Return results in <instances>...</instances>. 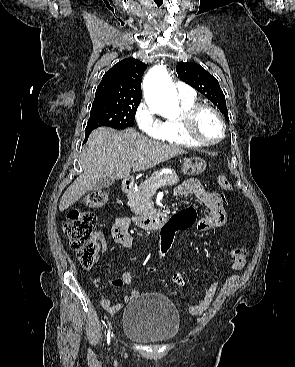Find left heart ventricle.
Listing matches in <instances>:
<instances>
[{
	"label": "left heart ventricle",
	"mask_w": 295,
	"mask_h": 367,
	"mask_svg": "<svg viewBox=\"0 0 295 367\" xmlns=\"http://www.w3.org/2000/svg\"><path fill=\"white\" fill-rule=\"evenodd\" d=\"M197 130L206 140H214L221 136L222 127L216 116L210 111H203L198 119Z\"/></svg>",
	"instance_id": "obj_1"
}]
</instances>
